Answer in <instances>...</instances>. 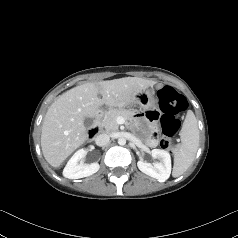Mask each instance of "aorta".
<instances>
[{
    "label": "aorta",
    "mask_w": 238,
    "mask_h": 238,
    "mask_svg": "<svg viewBox=\"0 0 238 238\" xmlns=\"http://www.w3.org/2000/svg\"><path fill=\"white\" fill-rule=\"evenodd\" d=\"M118 144L121 145V146L125 145L126 144V139L123 138V137L119 138L118 139Z\"/></svg>",
    "instance_id": "1"
}]
</instances>
